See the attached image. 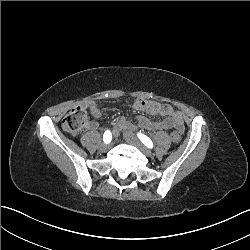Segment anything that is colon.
I'll return each mask as SVG.
<instances>
[{"label":"colon","mask_w":250,"mask_h":250,"mask_svg":"<svg viewBox=\"0 0 250 250\" xmlns=\"http://www.w3.org/2000/svg\"><path fill=\"white\" fill-rule=\"evenodd\" d=\"M87 122L88 116L86 111L81 107H76L72 109L69 113H67L63 118L62 129L66 133L75 136L78 135L84 129ZM169 136L171 137V142L174 146L180 145L181 137L175 130H172L169 133Z\"/></svg>","instance_id":"1"}]
</instances>
